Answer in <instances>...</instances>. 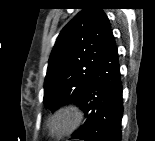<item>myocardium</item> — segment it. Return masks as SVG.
Here are the masks:
<instances>
[{"label": "myocardium", "instance_id": "myocardium-1", "mask_svg": "<svg viewBox=\"0 0 155 141\" xmlns=\"http://www.w3.org/2000/svg\"><path fill=\"white\" fill-rule=\"evenodd\" d=\"M79 120V117L66 108L57 109L46 122L48 137L55 138L63 135Z\"/></svg>", "mask_w": 155, "mask_h": 141}]
</instances>
